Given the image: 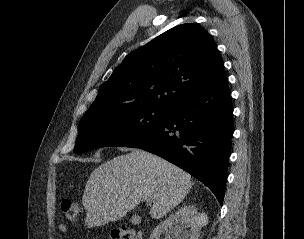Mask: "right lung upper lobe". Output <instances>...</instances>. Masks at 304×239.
Segmentation results:
<instances>
[{
  "label": "right lung upper lobe",
  "instance_id": "right-lung-upper-lobe-1",
  "mask_svg": "<svg viewBox=\"0 0 304 239\" xmlns=\"http://www.w3.org/2000/svg\"><path fill=\"white\" fill-rule=\"evenodd\" d=\"M224 76L223 61L210 36L198 25H178L130 53L85 113L136 106L168 109Z\"/></svg>",
  "mask_w": 304,
  "mask_h": 239
}]
</instances>
